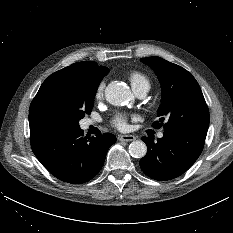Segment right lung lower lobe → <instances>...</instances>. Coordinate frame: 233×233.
I'll return each mask as SVG.
<instances>
[{"mask_svg":"<svg viewBox=\"0 0 233 233\" xmlns=\"http://www.w3.org/2000/svg\"><path fill=\"white\" fill-rule=\"evenodd\" d=\"M30 140L35 156L53 176L82 184L101 170L116 137L105 133L87 139L80 127L42 126L30 129Z\"/></svg>","mask_w":233,"mask_h":233,"instance_id":"1","label":"right lung lower lobe"}]
</instances>
